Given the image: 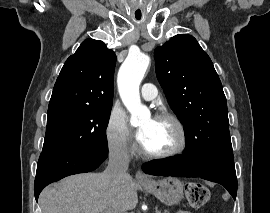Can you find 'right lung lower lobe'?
Returning a JSON list of instances; mask_svg holds the SVG:
<instances>
[{
  "label": "right lung lower lobe",
  "instance_id": "right-lung-lower-lobe-1",
  "mask_svg": "<svg viewBox=\"0 0 270 213\" xmlns=\"http://www.w3.org/2000/svg\"><path fill=\"white\" fill-rule=\"evenodd\" d=\"M108 147L100 146L81 152L41 154L34 184L36 201L48 184L66 176L93 171L107 158Z\"/></svg>",
  "mask_w": 270,
  "mask_h": 213
}]
</instances>
